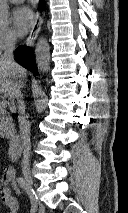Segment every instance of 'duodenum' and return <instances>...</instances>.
Listing matches in <instances>:
<instances>
[{
	"label": "duodenum",
	"mask_w": 128,
	"mask_h": 213,
	"mask_svg": "<svg viewBox=\"0 0 128 213\" xmlns=\"http://www.w3.org/2000/svg\"><path fill=\"white\" fill-rule=\"evenodd\" d=\"M22 149L21 138L18 133H13L9 137L8 156L10 159H16Z\"/></svg>",
	"instance_id": "1"
}]
</instances>
